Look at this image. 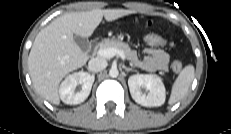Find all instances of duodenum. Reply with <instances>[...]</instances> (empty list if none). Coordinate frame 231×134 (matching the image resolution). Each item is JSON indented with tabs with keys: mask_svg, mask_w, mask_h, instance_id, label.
Returning <instances> with one entry per match:
<instances>
[{
	"mask_svg": "<svg viewBox=\"0 0 231 134\" xmlns=\"http://www.w3.org/2000/svg\"><path fill=\"white\" fill-rule=\"evenodd\" d=\"M103 43V39L102 38H97V39H94L92 41V46L94 48H97L98 46H100L101 44Z\"/></svg>",
	"mask_w": 231,
	"mask_h": 134,
	"instance_id": "410a0bca",
	"label": "duodenum"
}]
</instances>
